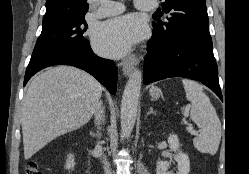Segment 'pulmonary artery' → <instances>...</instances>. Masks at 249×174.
I'll return each mask as SVG.
<instances>
[{"mask_svg":"<svg viewBox=\"0 0 249 174\" xmlns=\"http://www.w3.org/2000/svg\"><path fill=\"white\" fill-rule=\"evenodd\" d=\"M135 7L139 11L150 12L154 8L153 0H135ZM124 10L121 3L112 0H100V7L95 11L97 18H105L119 14Z\"/></svg>","mask_w":249,"mask_h":174,"instance_id":"pulmonary-artery-1","label":"pulmonary artery"}]
</instances>
